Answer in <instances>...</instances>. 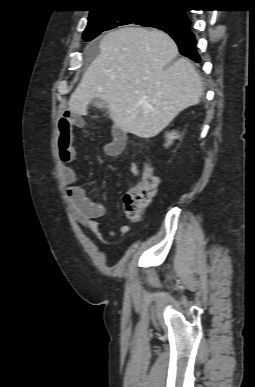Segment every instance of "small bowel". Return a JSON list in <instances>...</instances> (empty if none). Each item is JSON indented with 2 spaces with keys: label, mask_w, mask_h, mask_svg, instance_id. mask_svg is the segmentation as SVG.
<instances>
[{
  "label": "small bowel",
  "mask_w": 255,
  "mask_h": 387,
  "mask_svg": "<svg viewBox=\"0 0 255 387\" xmlns=\"http://www.w3.org/2000/svg\"><path fill=\"white\" fill-rule=\"evenodd\" d=\"M85 121L79 114L64 113L58 121L57 146L60 160L71 162L76 157L74 143V127H83ZM127 137L118 127L112 128V139L105 144L104 152L107 156L115 157L123 153ZM130 171L133 176L139 175L135 162H131ZM65 184V197L72 215L79 223L89 229L95 236L106 243L104 237H114L118 233H126L128 225L118 229H105L99 219L105 215L106 208L103 199L94 200L88 196L84 176L75 168L64 166L62 169Z\"/></svg>",
  "instance_id": "1"
}]
</instances>
